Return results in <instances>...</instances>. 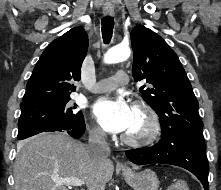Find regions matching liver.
<instances>
[{"label":"liver","mask_w":221,"mask_h":190,"mask_svg":"<svg viewBox=\"0 0 221 190\" xmlns=\"http://www.w3.org/2000/svg\"><path fill=\"white\" fill-rule=\"evenodd\" d=\"M111 160L91 158L81 142L65 133H44L21 142L14 163V190H68L54 178H79L87 190H104L112 179Z\"/></svg>","instance_id":"1"}]
</instances>
